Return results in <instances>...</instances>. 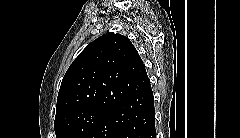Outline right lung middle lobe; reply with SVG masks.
Here are the masks:
<instances>
[{
	"mask_svg": "<svg viewBox=\"0 0 240 138\" xmlns=\"http://www.w3.org/2000/svg\"><path fill=\"white\" fill-rule=\"evenodd\" d=\"M106 112L102 109H86L56 119V138H87Z\"/></svg>",
	"mask_w": 240,
	"mask_h": 138,
	"instance_id": "dd1d6c3e",
	"label": "right lung middle lobe"
}]
</instances>
